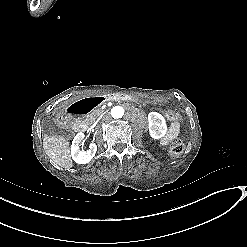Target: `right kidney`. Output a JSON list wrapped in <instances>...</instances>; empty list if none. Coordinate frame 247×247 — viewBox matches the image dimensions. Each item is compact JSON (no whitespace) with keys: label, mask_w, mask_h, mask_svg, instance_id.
I'll list each match as a JSON object with an SVG mask.
<instances>
[{"label":"right kidney","mask_w":247,"mask_h":247,"mask_svg":"<svg viewBox=\"0 0 247 247\" xmlns=\"http://www.w3.org/2000/svg\"><path fill=\"white\" fill-rule=\"evenodd\" d=\"M84 139V133L79 132L75 135L72 144H71V156L74 162L78 164H87L92 158L95 156L97 151V146L95 143H91L89 145V149L87 151L80 149V144Z\"/></svg>","instance_id":"obj_1"}]
</instances>
